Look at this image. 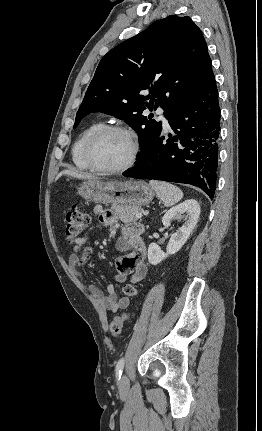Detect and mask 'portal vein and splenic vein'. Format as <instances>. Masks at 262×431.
Wrapping results in <instances>:
<instances>
[{
    "instance_id": "obj_1",
    "label": "portal vein and splenic vein",
    "mask_w": 262,
    "mask_h": 431,
    "mask_svg": "<svg viewBox=\"0 0 262 431\" xmlns=\"http://www.w3.org/2000/svg\"><path fill=\"white\" fill-rule=\"evenodd\" d=\"M140 218H142V213L136 214V219H140Z\"/></svg>"
}]
</instances>
